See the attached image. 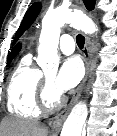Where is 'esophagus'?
Wrapping results in <instances>:
<instances>
[{"instance_id": "34e87169", "label": "esophagus", "mask_w": 117, "mask_h": 136, "mask_svg": "<svg viewBox=\"0 0 117 136\" xmlns=\"http://www.w3.org/2000/svg\"><path fill=\"white\" fill-rule=\"evenodd\" d=\"M83 57H84V62H85V76H84L82 82L80 83V85L75 90L69 104L66 106V108L64 110H62L54 118V120L52 122V127H51V133L53 136H57L59 134L63 121L65 120V118L69 114L73 105L78 101V99L81 95V92L85 86V83L88 79V76L90 73V66H91V41L88 36H86V39H85V46L83 49Z\"/></svg>"}]
</instances>
